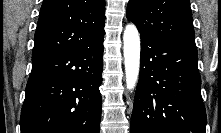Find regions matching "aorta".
I'll list each match as a JSON object with an SVG mask.
<instances>
[{
  "label": "aorta",
  "instance_id": "obj_1",
  "mask_svg": "<svg viewBox=\"0 0 221 133\" xmlns=\"http://www.w3.org/2000/svg\"><path fill=\"white\" fill-rule=\"evenodd\" d=\"M123 43L126 85L132 91L138 81L140 69V36L135 25L126 26Z\"/></svg>",
  "mask_w": 221,
  "mask_h": 133
}]
</instances>
